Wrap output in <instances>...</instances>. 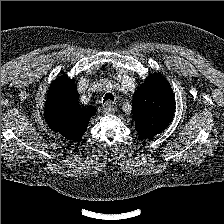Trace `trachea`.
<instances>
[{
    "label": "trachea",
    "mask_w": 224,
    "mask_h": 224,
    "mask_svg": "<svg viewBox=\"0 0 224 224\" xmlns=\"http://www.w3.org/2000/svg\"><path fill=\"white\" fill-rule=\"evenodd\" d=\"M108 100H111V101L114 100V97H113V95H112L111 93H107V94L104 96V100H103V102H106V101H108Z\"/></svg>",
    "instance_id": "obj_1"
}]
</instances>
